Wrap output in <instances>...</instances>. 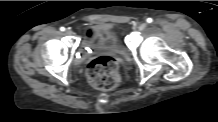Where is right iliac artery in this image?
Instances as JSON below:
<instances>
[{"mask_svg": "<svg viewBox=\"0 0 218 122\" xmlns=\"http://www.w3.org/2000/svg\"><path fill=\"white\" fill-rule=\"evenodd\" d=\"M60 30H61V31H65V28H64V27H61Z\"/></svg>", "mask_w": 218, "mask_h": 122, "instance_id": "82829eb1", "label": "right iliac artery"}]
</instances>
